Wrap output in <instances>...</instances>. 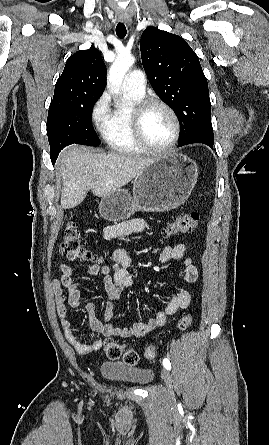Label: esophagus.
Instances as JSON below:
<instances>
[{
	"label": "esophagus",
	"instance_id": "34e87169",
	"mask_svg": "<svg viewBox=\"0 0 269 445\" xmlns=\"http://www.w3.org/2000/svg\"><path fill=\"white\" fill-rule=\"evenodd\" d=\"M119 20H120L121 22L126 23L127 25H130V24H131V19H130L127 15H120V16H119Z\"/></svg>",
	"mask_w": 269,
	"mask_h": 445
}]
</instances>
